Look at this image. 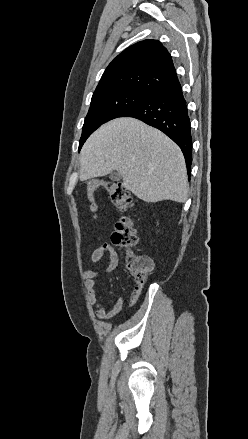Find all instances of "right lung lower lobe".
<instances>
[{
  "mask_svg": "<svg viewBox=\"0 0 248 439\" xmlns=\"http://www.w3.org/2000/svg\"><path fill=\"white\" fill-rule=\"evenodd\" d=\"M120 117H133L170 137L182 150L190 176L192 137L186 101L179 80L150 94Z\"/></svg>",
  "mask_w": 248,
  "mask_h": 439,
  "instance_id": "right-lung-lower-lobe-1",
  "label": "right lung lower lobe"
}]
</instances>
